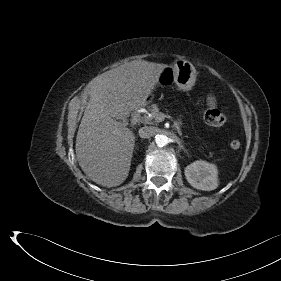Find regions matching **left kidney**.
<instances>
[{
    "label": "left kidney",
    "instance_id": "obj_1",
    "mask_svg": "<svg viewBox=\"0 0 281 281\" xmlns=\"http://www.w3.org/2000/svg\"><path fill=\"white\" fill-rule=\"evenodd\" d=\"M188 183L199 190L211 191L218 187V170L215 164L197 160L185 168Z\"/></svg>",
    "mask_w": 281,
    "mask_h": 281
}]
</instances>
